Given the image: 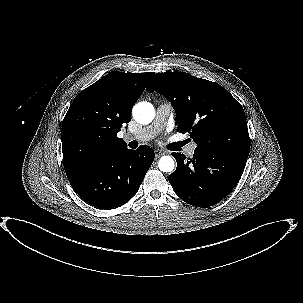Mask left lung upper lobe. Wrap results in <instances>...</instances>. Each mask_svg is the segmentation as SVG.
Segmentation results:
<instances>
[{
    "instance_id": "left-lung-upper-lobe-1",
    "label": "left lung upper lobe",
    "mask_w": 303,
    "mask_h": 303,
    "mask_svg": "<svg viewBox=\"0 0 303 303\" xmlns=\"http://www.w3.org/2000/svg\"><path fill=\"white\" fill-rule=\"evenodd\" d=\"M146 90L157 91L171 102L178 132H189L196 149L249 154L243 107L219 84L185 72H166L156 73Z\"/></svg>"
}]
</instances>
